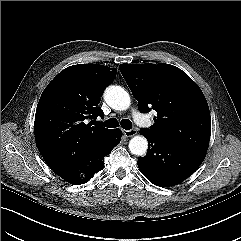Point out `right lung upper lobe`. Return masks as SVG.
<instances>
[{
	"label": "right lung upper lobe",
	"mask_w": 241,
	"mask_h": 241,
	"mask_svg": "<svg viewBox=\"0 0 241 241\" xmlns=\"http://www.w3.org/2000/svg\"><path fill=\"white\" fill-rule=\"evenodd\" d=\"M115 76V68L78 64L48 84L37 105L34 129L37 148L49 166L86 153L113 132L91 122L104 117L98 104Z\"/></svg>",
	"instance_id": "1"
}]
</instances>
